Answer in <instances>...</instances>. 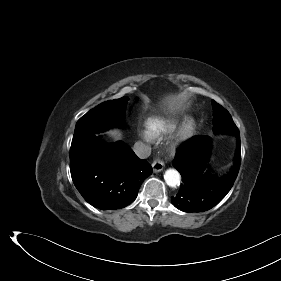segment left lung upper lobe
I'll use <instances>...</instances> for the list:
<instances>
[{"label": "left lung upper lobe", "mask_w": 281, "mask_h": 281, "mask_svg": "<svg viewBox=\"0 0 281 281\" xmlns=\"http://www.w3.org/2000/svg\"><path fill=\"white\" fill-rule=\"evenodd\" d=\"M213 107V130L217 133L226 132L234 134L238 128L234 124L231 115L226 109L212 101Z\"/></svg>", "instance_id": "obj_1"}]
</instances>
